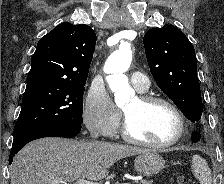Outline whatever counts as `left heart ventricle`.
I'll use <instances>...</instances> for the list:
<instances>
[{"label":"left heart ventricle","instance_id":"1","mask_svg":"<svg viewBox=\"0 0 224 184\" xmlns=\"http://www.w3.org/2000/svg\"><path fill=\"white\" fill-rule=\"evenodd\" d=\"M123 110L129 118L131 132L140 139L152 143H165L177 132L176 115L164 104L143 106L136 98Z\"/></svg>","mask_w":224,"mask_h":184}]
</instances>
